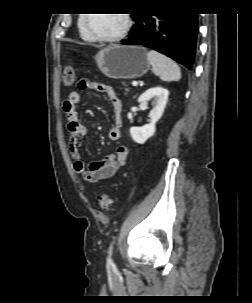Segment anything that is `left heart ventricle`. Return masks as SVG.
I'll use <instances>...</instances> for the list:
<instances>
[{
  "mask_svg": "<svg viewBox=\"0 0 252 303\" xmlns=\"http://www.w3.org/2000/svg\"><path fill=\"white\" fill-rule=\"evenodd\" d=\"M87 24L88 30L92 34L111 35L119 32L125 19L122 14H91Z\"/></svg>",
  "mask_w": 252,
  "mask_h": 303,
  "instance_id": "obj_1",
  "label": "left heart ventricle"
}]
</instances>
